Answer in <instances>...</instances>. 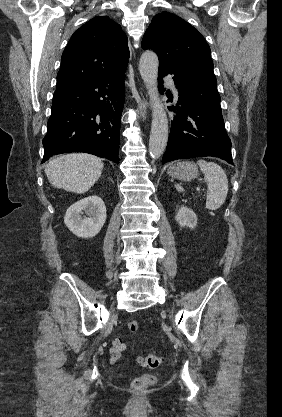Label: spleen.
Returning <instances> with one entry per match:
<instances>
[{"label": "spleen", "mask_w": 282, "mask_h": 417, "mask_svg": "<svg viewBox=\"0 0 282 417\" xmlns=\"http://www.w3.org/2000/svg\"><path fill=\"white\" fill-rule=\"evenodd\" d=\"M201 172L204 174V180L208 184L206 209L216 211L219 206L226 200L228 194V178L221 166L216 162H207V160H197ZM177 190H184L180 184H175Z\"/></svg>", "instance_id": "1"}]
</instances>
